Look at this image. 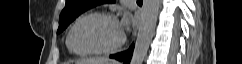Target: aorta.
Wrapping results in <instances>:
<instances>
[{"label": "aorta", "mask_w": 242, "mask_h": 64, "mask_svg": "<svg viewBox=\"0 0 242 64\" xmlns=\"http://www.w3.org/2000/svg\"><path fill=\"white\" fill-rule=\"evenodd\" d=\"M159 7L160 0H144L143 2L141 22L131 58V64H142L147 55L149 45L154 35Z\"/></svg>", "instance_id": "1"}]
</instances>
